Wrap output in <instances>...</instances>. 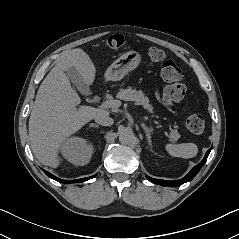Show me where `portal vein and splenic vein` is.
<instances>
[{"mask_svg": "<svg viewBox=\"0 0 239 239\" xmlns=\"http://www.w3.org/2000/svg\"><path fill=\"white\" fill-rule=\"evenodd\" d=\"M121 102L119 100H106L101 103V106L104 108H117L120 107ZM172 138V135H168Z\"/></svg>", "mask_w": 239, "mask_h": 239, "instance_id": "portal-vein-and-splenic-vein-1", "label": "portal vein and splenic vein"}]
</instances>
